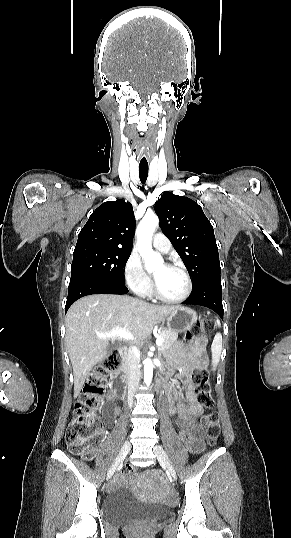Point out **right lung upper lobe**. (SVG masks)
<instances>
[{"label":"right lung upper lobe","mask_w":291,"mask_h":538,"mask_svg":"<svg viewBox=\"0 0 291 538\" xmlns=\"http://www.w3.org/2000/svg\"><path fill=\"white\" fill-rule=\"evenodd\" d=\"M134 230L132 204L121 199L105 202L81 229L74 251L89 247L132 250Z\"/></svg>","instance_id":"cb5924a9"}]
</instances>
